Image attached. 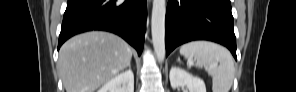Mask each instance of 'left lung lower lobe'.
<instances>
[{"label": "left lung lower lobe", "instance_id": "obj_1", "mask_svg": "<svg viewBox=\"0 0 296 92\" xmlns=\"http://www.w3.org/2000/svg\"><path fill=\"white\" fill-rule=\"evenodd\" d=\"M193 40L226 46L236 57V38L230 0H169L165 18L166 56Z\"/></svg>", "mask_w": 296, "mask_h": 92}]
</instances>
